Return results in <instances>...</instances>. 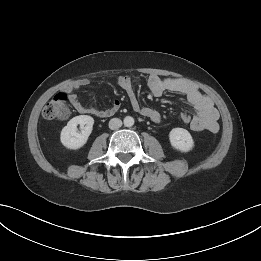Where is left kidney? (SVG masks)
<instances>
[{"mask_svg":"<svg viewBox=\"0 0 261 261\" xmlns=\"http://www.w3.org/2000/svg\"><path fill=\"white\" fill-rule=\"evenodd\" d=\"M169 140L172 147L181 152H189L194 147L191 134L183 128H173L169 133Z\"/></svg>","mask_w":261,"mask_h":261,"instance_id":"obj_1","label":"left kidney"}]
</instances>
